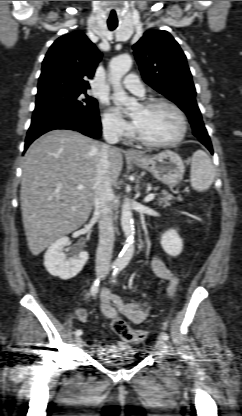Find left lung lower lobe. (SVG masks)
Here are the masks:
<instances>
[{"label":"left lung lower lobe","instance_id":"1","mask_svg":"<svg viewBox=\"0 0 242 416\" xmlns=\"http://www.w3.org/2000/svg\"><path fill=\"white\" fill-rule=\"evenodd\" d=\"M208 149H209V151L213 154V149H212V144H211V141H210V139L209 140H206V141H203L202 142Z\"/></svg>","mask_w":242,"mask_h":416}]
</instances>
